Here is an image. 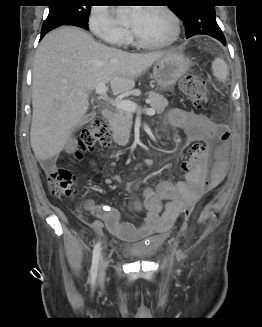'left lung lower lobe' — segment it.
I'll use <instances>...</instances> for the list:
<instances>
[{
    "label": "left lung lower lobe",
    "mask_w": 262,
    "mask_h": 327,
    "mask_svg": "<svg viewBox=\"0 0 262 327\" xmlns=\"http://www.w3.org/2000/svg\"><path fill=\"white\" fill-rule=\"evenodd\" d=\"M205 32H203V31L202 32L194 31V33L192 32V34L186 35V37L189 38V37H192V36L198 35V34H206V35H209L211 37H214L215 39L220 41L224 46L226 45V40H225V37H224L221 29L220 30H214V31H211V32H207V33H205Z\"/></svg>",
    "instance_id": "0a47b994"
}]
</instances>
